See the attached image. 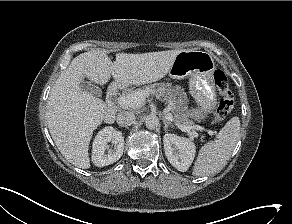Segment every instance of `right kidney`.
<instances>
[{
	"mask_svg": "<svg viewBox=\"0 0 292 224\" xmlns=\"http://www.w3.org/2000/svg\"><path fill=\"white\" fill-rule=\"evenodd\" d=\"M114 144V149H108L107 142ZM92 162L97 167H104L118 161L124 150V137L120 131H116L113 127L103 128L96 135L92 145Z\"/></svg>",
	"mask_w": 292,
	"mask_h": 224,
	"instance_id": "ca27d5eb",
	"label": "right kidney"
}]
</instances>
